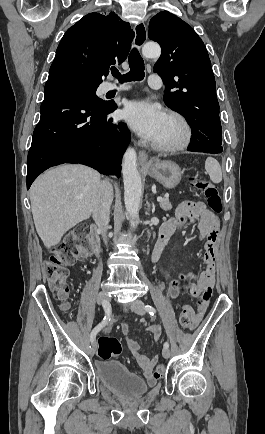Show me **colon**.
Here are the masks:
<instances>
[{"instance_id": "5ec220e1", "label": "colon", "mask_w": 265, "mask_h": 434, "mask_svg": "<svg viewBox=\"0 0 265 434\" xmlns=\"http://www.w3.org/2000/svg\"><path fill=\"white\" fill-rule=\"evenodd\" d=\"M192 187L199 191L207 200L208 206L214 212L220 213L223 210L222 200L217 187L210 181L204 180L199 176L190 179ZM77 241L69 235L60 241L51 251L49 259L43 266V275L48 280L50 287L55 295L65 299L69 294V266L73 265L77 258ZM195 319L186 316L185 309L182 310L179 322L183 329L193 327ZM97 353L99 358L106 362L113 356L122 353V345L116 336H101L98 339ZM165 363L163 360L160 362ZM163 371V366H158L154 372V377L159 378Z\"/></svg>"}]
</instances>
